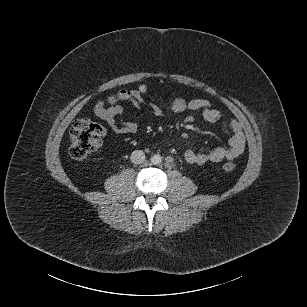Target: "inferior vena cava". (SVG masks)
I'll return each mask as SVG.
<instances>
[{"mask_svg": "<svg viewBox=\"0 0 307 307\" xmlns=\"http://www.w3.org/2000/svg\"><path fill=\"white\" fill-rule=\"evenodd\" d=\"M130 159L134 164H141L145 160V154L141 150H135L132 152Z\"/></svg>", "mask_w": 307, "mask_h": 307, "instance_id": "602c4592", "label": "inferior vena cava"}]
</instances>
